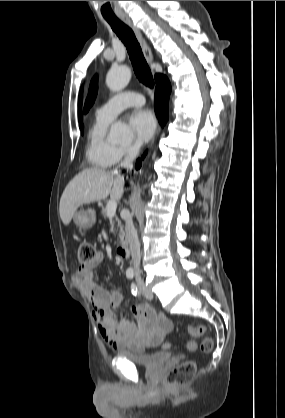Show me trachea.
<instances>
[{
  "mask_svg": "<svg viewBox=\"0 0 285 418\" xmlns=\"http://www.w3.org/2000/svg\"><path fill=\"white\" fill-rule=\"evenodd\" d=\"M104 18L126 46L136 77L144 85L153 88L154 81L150 68L132 29L117 17L104 16Z\"/></svg>",
  "mask_w": 285,
  "mask_h": 418,
  "instance_id": "obj_1",
  "label": "trachea"
}]
</instances>
